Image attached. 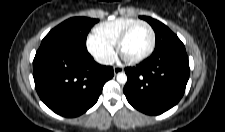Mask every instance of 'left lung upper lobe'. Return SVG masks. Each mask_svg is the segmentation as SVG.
<instances>
[{
	"instance_id": "obj_1",
	"label": "left lung upper lobe",
	"mask_w": 225,
	"mask_h": 132,
	"mask_svg": "<svg viewBox=\"0 0 225 132\" xmlns=\"http://www.w3.org/2000/svg\"><path fill=\"white\" fill-rule=\"evenodd\" d=\"M140 18L146 20L155 31L156 45L153 54L174 46L183 45L177 35L163 23L146 16H140Z\"/></svg>"
}]
</instances>
